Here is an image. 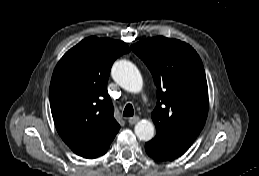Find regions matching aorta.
Wrapping results in <instances>:
<instances>
[{
	"mask_svg": "<svg viewBox=\"0 0 259 176\" xmlns=\"http://www.w3.org/2000/svg\"><path fill=\"white\" fill-rule=\"evenodd\" d=\"M111 75L113 79L125 90L139 93L143 87V79L138 68L130 61L119 60L114 63ZM136 136L143 141H149L154 137L153 123L147 120L139 121L135 125Z\"/></svg>",
	"mask_w": 259,
	"mask_h": 176,
	"instance_id": "1",
	"label": "aorta"
}]
</instances>
